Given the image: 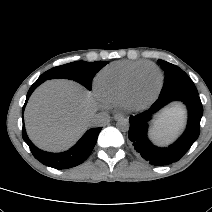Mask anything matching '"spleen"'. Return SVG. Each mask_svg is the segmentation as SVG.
I'll return each instance as SVG.
<instances>
[{"mask_svg":"<svg viewBox=\"0 0 212 212\" xmlns=\"http://www.w3.org/2000/svg\"><path fill=\"white\" fill-rule=\"evenodd\" d=\"M171 136L164 135V134H156L154 132V138L159 142H168Z\"/></svg>","mask_w":212,"mask_h":212,"instance_id":"obj_1","label":"spleen"}]
</instances>
